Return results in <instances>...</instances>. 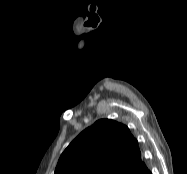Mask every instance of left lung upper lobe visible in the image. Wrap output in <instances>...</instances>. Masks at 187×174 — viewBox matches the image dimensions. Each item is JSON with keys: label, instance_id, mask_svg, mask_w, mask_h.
Returning a JSON list of instances; mask_svg holds the SVG:
<instances>
[{"label": "left lung upper lobe", "instance_id": "5c2ea615", "mask_svg": "<svg viewBox=\"0 0 187 174\" xmlns=\"http://www.w3.org/2000/svg\"><path fill=\"white\" fill-rule=\"evenodd\" d=\"M137 145L125 125L98 120L64 150L55 174H135L146 168Z\"/></svg>", "mask_w": 187, "mask_h": 174}]
</instances>
